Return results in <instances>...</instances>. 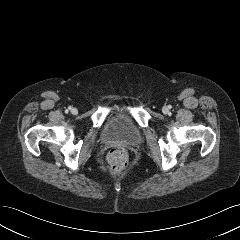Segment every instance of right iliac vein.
I'll use <instances>...</instances> for the list:
<instances>
[{"instance_id": "right-iliac-vein-1", "label": "right iliac vein", "mask_w": 240, "mask_h": 240, "mask_svg": "<svg viewBox=\"0 0 240 240\" xmlns=\"http://www.w3.org/2000/svg\"><path fill=\"white\" fill-rule=\"evenodd\" d=\"M71 113L74 114V115H76V114L78 113V110H77L76 108H72V109H71Z\"/></svg>"}]
</instances>
